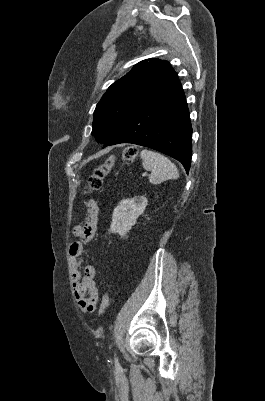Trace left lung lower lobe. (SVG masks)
<instances>
[{
    "label": "left lung lower lobe",
    "mask_w": 265,
    "mask_h": 401,
    "mask_svg": "<svg viewBox=\"0 0 265 401\" xmlns=\"http://www.w3.org/2000/svg\"><path fill=\"white\" fill-rule=\"evenodd\" d=\"M192 127L181 83L177 80L141 108L104 147L132 143L146 146L180 161L189 172Z\"/></svg>",
    "instance_id": "obj_1"
}]
</instances>
